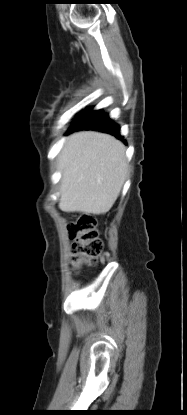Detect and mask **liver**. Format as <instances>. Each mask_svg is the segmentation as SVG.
<instances>
[{
	"label": "liver",
	"instance_id": "1",
	"mask_svg": "<svg viewBox=\"0 0 187 415\" xmlns=\"http://www.w3.org/2000/svg\"><path fill=\"white\" fill-rule=\"evenodd\" d=\"M125 151L108 134L81 131L70 135L58 156L62 173L59 208L94 215L108 212L126 180Z\"/></svg>",
	"mask_w": 187,
	"mask_h": 415
}]
</instances>
